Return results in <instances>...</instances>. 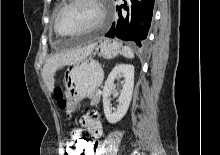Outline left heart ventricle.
<instances>
[{
	"label": "left heart ventricle",
	"mask_w": 220,
	"mask_h": 155,
	"mask_svg": "<svg viewBox=\"0 0 220 155\" xmlns=\"http://www.w3.org/2000/svg\"><path fill=\"white\" fill-rule=\"evenodd\" d=\"M98 17L97 6L89 0H82L71 5L60 14L57 28L64 35L72 34L90 26Z\"/></svg>",
	"instance_id": "b2bd125f"
}]
</instances>
